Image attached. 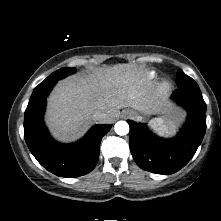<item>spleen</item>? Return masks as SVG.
<instances>
[{"label": "spleen", "mask_w": 221, "mask_h": 221, "mask_svg": "<svg viewBox=\"0 0 221 221\" xmlns=\"http://www.w3.org/2000/svg\"><path fill=\"white\" fill-rule=\"evenodd\" d=\"M159 121H161V120H159ZM164 127H163V129H164V132H169V127H167L166 125H163Z\"/></svg>", "instance_id": "spleen-1"}]
</instances>
